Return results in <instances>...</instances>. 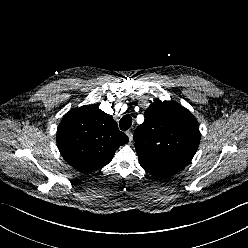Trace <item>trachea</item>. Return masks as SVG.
Segmentation results:
<instances>
[{
	"mask_svg": "<svg viewBox=\"0 0 248 248\" xmlns=\"http://www.w3.org/2000/svg\"><path fill=\"white\" fill-rule=\"evenodd\" d=\"M119 125H120L121 130H123V131L128 130L132 125L131 116L130 115L123 116L119 122Z\"/></svg>",
	"mask_w": 248,
	"mask_h": 248,
	"instance_id": "3493384b",
	"label": "trachea"
}]
</instances>
